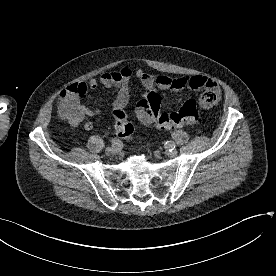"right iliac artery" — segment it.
<instances>
[{"mask_svg": "<svg viewBox=\"0 0 276 276\" xmlns=\"http://www.w3.org/2000/svg\"><path fill=\"white\" fill-rule=\"evenodd\" d=\"M112 146H118V147H121V146H122V144H121V142H120L119 140H117V139H113V140H112Z\"/></svg>", "mask_w": 276, "mask_h": 276, "instance_id": "right-iliac-artery-1", "label": "right iliac artery"}]
</instances>
